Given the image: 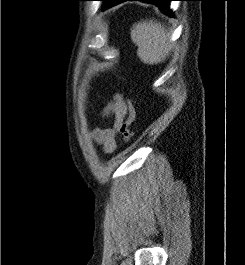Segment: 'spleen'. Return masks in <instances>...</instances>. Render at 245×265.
<instances>
[{"mask_svg": "<svg viewBox=\"0 0 245 265\" xmlns=\"http://www.w3.org/2000/svg\"><path fill=\"white\" fill-rule=\"evenodd\" d=\"M170 34L160 22L149 20L134 24L131 39L138 46L137 55L145 64L165 61L171 49Z\"/></svg>", "mask_w": 245, "mask_h": 265, "instance_id": "3e777b00", "label": "spleen"}]
</instances>
